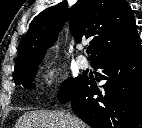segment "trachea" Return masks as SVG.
<instances>
[{
	"label": "trachea",
	"instance_id": "1",
	"mask_svg": "<svg viewBox=\"0 0 142 128\" xmlns=\"http://www.w3.org/2000/svg\"><path fill=\"white\" fill-rule=\"evenodd\" d=\"M87 54H90L92 52V49L89 47L87 50H86Z\"/></svg>",
	"mask_w": 142,
	"mask_h": 128
}]
</instances>
